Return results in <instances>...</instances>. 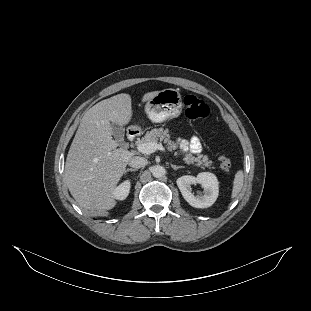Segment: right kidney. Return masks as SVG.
<instances>
[{
    "mask_svg": "<svg viewBox=\"0 0 311 311\" xmlns=\"http://www.w3.org/2000/svg\"><path fill=\"white\" fill-rule=\"evenodd\" d=\"M131 183L125 180L112 191V197L117 200H125L129 195Z\"/></svg>",
    "mask_w": 311,
    "mask_h": 311,
    "instance_id": "obj_1",
    "label": "right kidney"
}]
</instances>
